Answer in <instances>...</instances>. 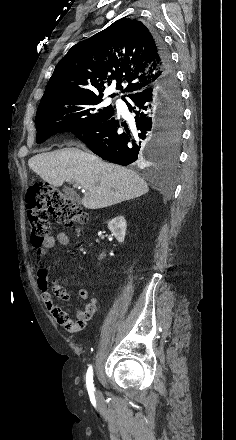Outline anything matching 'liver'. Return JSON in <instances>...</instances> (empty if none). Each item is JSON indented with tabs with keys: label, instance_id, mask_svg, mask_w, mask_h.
I'll return each mask as SVG.
<instances>
[{
	"label": "liver",
	"instance_id": "obj_1",
	"mask_svg": "<svg viewBox=\"0 0 236 440\" xmlns=\"http://www.w3.org/2000/svg\"><path fill=\"white\" fill-rule=\"evenodd\" d=\"M28 165L55 187L65 181L76 182L85 190L82 204L88 209L115 205L149 191L147 183L134 171L74 147L37 154Z\"/></svg>",
	"mask_w": 236,
	"mask_h": 440
}]
</instances>
